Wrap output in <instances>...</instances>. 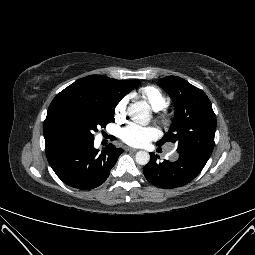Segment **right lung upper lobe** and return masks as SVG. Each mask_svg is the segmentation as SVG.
<instances>
[{
    "label": "right lung upper lobe",
    "instance_id": "right-lung-upper-lobe-1",
    "mask_svg": "<svg viewBox=\"0 0 255 255\" xmlns=\"http://www.w3.org/2000/svg\"><path fill=\"white\" fill-rule=\"evenodd\" d=\"M128 84L129 81L90 75L77 80L57 94L49 106L44 121L46 148L71 140L67 123L77 107L92 102L117 105L127 94Z\"/></svg>",
    "mask_w": 255,
    "mask_h": 255
}]
</instances>
